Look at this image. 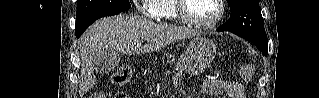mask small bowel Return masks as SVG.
I'll return each mask as SVG.
<instances>
[{
    "instance_id": "obj_1",
    "label": "small bowel",
    "mask_w": 319,
    "mask_h": 98,
    "mask_svg": "<svg viewBox=\"0 0 319 98\" xmlns=\"http://www.w3.org/2000/svg\"><path fill=\"white\" fill-rule=\"evenodd\" d=\"M173 82L175 86H181L182 81L180 73H175ZM204 90L208 94L212 95H221L225 93L229 98H244L243 85L238 82L221 79H210L205 82Z\"/></svg>"
}]
</instances>
